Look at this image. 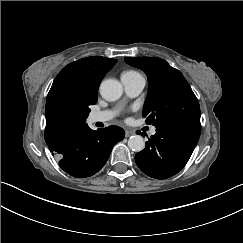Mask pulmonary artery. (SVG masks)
<instances>
[{"instance_id":"pulmonary-artery-1","label":"pulmonary artery","mask_w":243,"mask_h":243,"mask_svg":"<svg viewBox=\"0 0 243 243\" xmlns=\"http://www.w3.org/2000/svg\"><path fill=\"white\" fill-rule=\"evenodd\" d=\"M126 94L128 97H135L141 93V91L145 87V78L141 76L136 81H122ZM116 111L115 110H105V111H99L96 113L91 114V123H100V122H107L111 120ZM156 133V129L153 127L150 130V134L154 135Z\"/></svg>"}]
</instances>
